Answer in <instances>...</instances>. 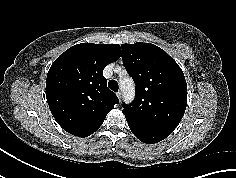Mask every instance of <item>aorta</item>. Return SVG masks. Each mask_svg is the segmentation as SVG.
<instances>
[{
  "mask_svg": "<svg viewBox=\"0 0 236 178\" xmlns=\"http://www.w3.org/2000/svg\"><path fill=\"white\" fill-rule=\"evenodd\" d=\"M120 88L123 92V98L126 103L131 102L134 99L135 89L132 78H124L120 80Z\"/></svg>",
  "mask_w": 236,
  "mask_h": 178,
  "instance_id": "1",
  "label": "aorta"
}]
</instances>
